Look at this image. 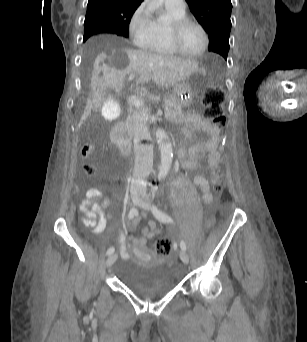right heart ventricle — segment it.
Here are the masks:
<instances>
[{
	"label": "right heart ventricle",
	"mask_w": 307,
	"mask_h": 342,
	"mask_svg": "<svg viewBox=\"0 0 307 342\" xmlns=\"http://www.w3.org/2000/svg\"><path fill=\"white\" fill-rule=\"evenodd\" d=\"M185 16L184 13H174L170 12L171 19L180 18ZM168 22L164 23H158V32L155 37L148 40L147 42L137 45L140 50L160 54V55H166V56H179L178 54L169 44L166 34V27Z\"/></svg>",
	"instance_id": "1"
}]
</instances>
